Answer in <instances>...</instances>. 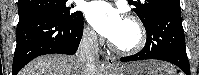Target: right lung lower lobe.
Returning a JSON list of instances; mask_svg holds the SVG:
<instances>
[{
	"mask_svg": "<svg viewBox=\"0 0 199 75\" xmlns=\"http://www.w3.org/2000/svg\"><path fill=\"white\" fill-rule=\"evenodd\" d=\"M83 14L64 23L43 13L19 15L12 75L32 59L45 54H74L83 34Z\"/></svg>",
	"mask_w": 199,
	"mask_h": 75,
	"instance_id": "98d812e1",
	"label": "right lung lower lobe"
}]
</instances>
